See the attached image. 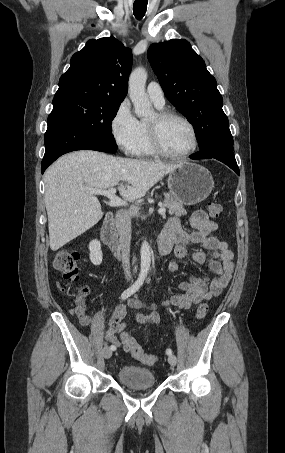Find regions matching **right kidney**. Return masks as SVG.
Listing matches in <instances>:
<instances>
[{
    "instance_id": "right-kidney-1",
    "label": "right kidney",
    "mask_w": 285,
    "mask_h": 453,
    "mask_svg": "<svg viewBox=\"0 0 285 453\" xmlns=\"http://www.w3.org/2000/svg\"><path fill=\"white\" fill-rule=\"evenodd\" d=\"M90 260L94 265H100L102 263V251L101 244L98 240H92L89 244Z\"/></svg>"
}]
</instances>
